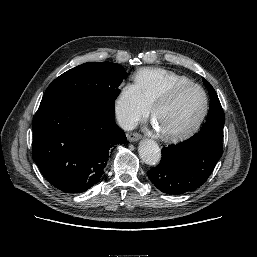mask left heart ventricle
<instances>
[{
  "label": "left heart ventricle",
  "instance_id": "obj_1",
  "mask_svg": "<svg viewBox=\"0 0 257 257\" xmlns=\"http://www.w3.org/2000/svg\"><path fill=\"white\" fill-rule=\"evenodd\" d=\"M204 99L197 88L182 91L171 103L157 111L159 126L165 131H175L192 125L202 111Z\"/></svg>",
  "mask_w": 257,
  "mask_h": 257
}]
</instances>
